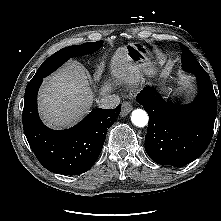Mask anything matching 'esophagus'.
Wrapping results in <instances>:
<instances>
[{"mask_svg": "<svg viewBox=\"0 0 221 221\" xmlns=\"http://www.w3.org/2000/svg\"><path fill=\"white\" fill-rule=\"evenodd\" d=\"M133 107L130 102H124L122 104L121 116H126L132 111Z\"/></svg>", "mask_w": 221, "mask_h": 221, "instance_id": "obj_1", "label": "esophagus"}]
</instances>
